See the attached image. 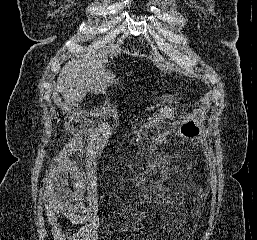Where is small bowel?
<instances>
[{"instance_id":"obj_1","label":"small bowel","mask_w":257,"mask_h":240,"mask_svg":"<svg viewBox=\"0 0 257 240\" xmlns=\"http://www.w3.org/2000/svg\"><path fill=\"white\" fill-rule=\"evenodd\" d=\"M79 140H83L79 137ZM93 152L94 146L88 145ZM63 180V169L60 166L51 168L46 176V184L52 188L59 181ZM59 217L65 218L68 222L80 225L73 233L64 230L59 223ZM47 218L51 227L54 240H98L97 228L99 219L97 216V201L92 192L88 205L72 204L65 201L55 200L47 207ZM124 240H135L126 238Z\"/></svg>"}]
</instances>
